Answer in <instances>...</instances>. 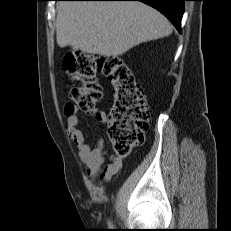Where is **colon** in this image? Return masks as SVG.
Masks as SVG:
<instances>
[{
	"label": "colon",
	"mask_w": 231,
	"mask_h": 231,
	"mask_svg": "<svg viewBox=\"0 0 231 231\" xmlns=\"http://www.w3.org/2000/svg\"><path fill=\"white\" fill-rule=\"evenodd\" d=\"M64 69L81 84L70 88L72 105L92 110L101 100L97 74L102 73L113 86V101L108 118V135L114 152L125 157L144 141L149 127V109L145 93L130 67L118 57L97 58L84 53H68Z\"/></svg>",
	"instance_id": "colon-1"
}]
</instances>
